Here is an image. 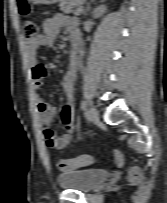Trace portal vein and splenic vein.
Instances as JSON below:
<instances>
[{"label": "portal vein and splenic vein", "mask_w": 167, "mask_h": 203, "mask_svg": "<svg viewBox=\"0 0 167 203\" xmlns=\"http://www.w3.org/2000/svg\"><path fill=\"white\" fill-rule=\"evenodd\" d=\"M81 12H78L76 15H80Z\"/></svg>", "instance_id": "1"}]
</instances>
